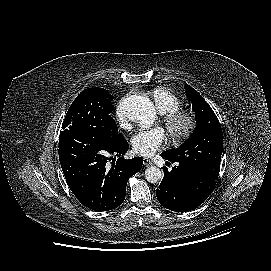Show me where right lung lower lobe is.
<instances>
[{
  "instance_id": "obj_1",
  "label": "right lung lower lobe",
  "mask_w": 271,
  "mask_h": 271,
  "mask_svg": "<svg viewBox=\"0 0 271 271\" xmlns=\"http://www.w3.org/2000/svg\"><path fill=\"white\" fill-rule=\"evenodd\" d=\"M128 149L122 135L113 143L84 135L59 137V160L67 185L83 205L108 211L123 203L128 179L143 164L140 157L125 160L122 155ZM113 156H119L116 163ZM108 160L115 164L110 167Z\"/></svg>"
}]
</instances>
